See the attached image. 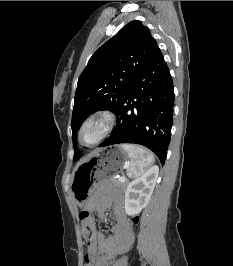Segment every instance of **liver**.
Returning <instances> with one entry per match:
<instances>
[{
  "instance_id": "6515ba94",
  "label": "liver",
  "mask_w": 233,
  "mask_h": 266,
  "mask_svg": "<svg viewBox=\"0 0 233 266\" xmlns=\"http://www.w3.org/2000/svg\"><path fill=\"white\" fill-rule=\"evenodd\" d=\"M92 155H93V154H90V155L86 158V160L89 159Z\"/></svg>"
}]
</instances>
